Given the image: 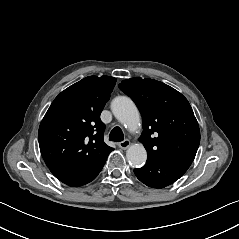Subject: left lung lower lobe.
Segmentation results:
<instances>
[{
  "instance_id": "obj_1",
  "label": "left lung lower lobe",
  "mask_w": 239,
  "mask_h": 239,
  "mask_svg": "<svg viewBox=\"0 0 239 239\" xmlns=\"http://www.w3.org/2000/svg\"><path fill=\"white\" fill-rule=\"evenodd\" d=\"M192 161L179 159L148 160L140 169H134L137 178L149 187L164 188L178 180Z\"/></svg>"
}]
</instances>
